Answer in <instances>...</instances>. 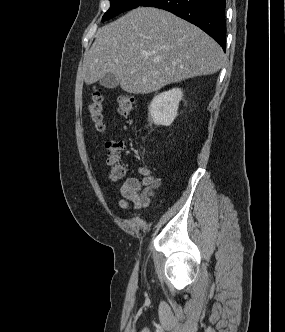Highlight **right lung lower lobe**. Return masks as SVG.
<instances>
[{
  "mask_svg": "<svg viewBox=\"0 0 285 332\" xmlns=\"http://www.w3.org/2000/svg\"><path fill=\"white\" fill-rule=\"evenodd\" d=\"M140 6L161 8L195 24L225 51V0H146Z\"/></svg>",
  "mask_w": 285,
  "mask_h": 332,
  "instance_id": "right-lung-lower-lobe-1",
  "label": "right lung lower lobe"
}]
</instances>
